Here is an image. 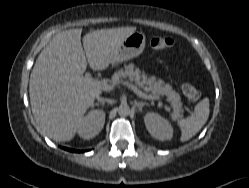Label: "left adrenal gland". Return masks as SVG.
<instances>
[{"instance_id":"left-adrenal-gland-1","label":"left adrenal gland","mask_w":249,"mask_h":188,"mask_svg":"<svg viewBox=\"0 0 249 188\" xmlns=\"http://www.w3.org/2000/svg\"><path fill=\"white\" fill-rule=\"evenodd\" d=\"M135 105L137 106V108L139 109V111L141 112L142 111V108L146 105H148L147 102H138V101H135Z\"/></svg>"}]
</instances>
